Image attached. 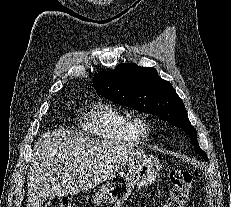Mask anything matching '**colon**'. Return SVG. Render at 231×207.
I'll use <instances>...</instances> for the list:
<instances>
[{"instance_id":"1","label":"colon","mask_w":231,"mask_h":207,"mask_svg":"<svg viewBox=\"0 0 231 207\" xmlns=\"http://www.w3.org/2000/svg\"><path fill=\"white\" fill-rule=\"evenodd\" d=\"M171 188L167 200V207H184L192 189V176L188 171L173 169L169 174ZM44 207H72L66 198H56L48 201Z\"/></svg>"}]
</instances>
